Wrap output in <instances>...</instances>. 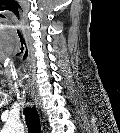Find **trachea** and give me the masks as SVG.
<instances>
[{
    "label": "trachea",
    "mask_w": 120,
    "mask_h": 133,
    "mask_svg": "<svg viewBox=\"0 0 120 133\" xmlns=\"http://www.w3.org/2000/svg\"><path fill=\"white\" fill-rule=\"evenodd\" d=\"M24 115L29 133H41L40 119L36 109L27 107Z\"/></svg>",
    "instance_id": "obj_1"
}]
</instances>
